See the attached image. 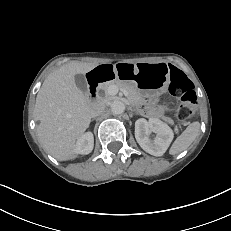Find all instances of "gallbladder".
Returning a JSON list of instances; mask_svg holds the SVG:
<instances>
[{"instance_id":"bac80fb5","label":"gallbladder","mask_w":231,"mask_h":231,"mask_svg":"<svg viewBox=\"0 0 231 231\" xmlns=\"http://www.w3.org/2000/svg\"><path fill=\"white\" fill-rule=\"evenodd\" d=\"M75 84L82 92L87 91V82L84 75L82 74L75 75Z\"/></svg>"}]
</instances>
